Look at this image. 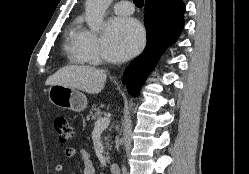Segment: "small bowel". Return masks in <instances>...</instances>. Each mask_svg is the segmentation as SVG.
<instances>
[{
	"label": "small bowel",
	"mask_w": 249,
	"mask_h": 174,
	"mask_svg": "<svg viewBox=\"0 0 249 174\" xmlns=\"http://www.w3.org/2000/svg\"><path fill=\"white\" fill-rule=\"evenodd\" d=\"M77 154H79L81 161L83 163V174H96V167L94 162L91 160L89 153L85 149H78L75 147H69L65 150V156L67 158H73ZM64 165L57 164L55 167V171L58 174H62L64 172Z\"/></svg>",
	"instance_id": "1"
}]
</instances>
